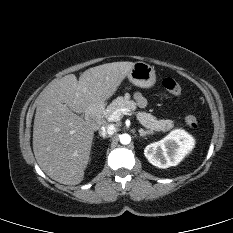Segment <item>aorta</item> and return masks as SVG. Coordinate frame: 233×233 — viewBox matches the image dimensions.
Wrapping results in <instances>:
<instances>
[{"label":"aorta","mask_w":233,"mask_h":233,"mask_svg":"<svg viewBox=\"0 0 233 233\" xmlns=\"http://www.w3.org/2000/svg\"><path fill=\"white\" fill-rule=\"evenodd\" d=\"M120 143L123 145H127L131 142V136L129 134H122L119 137Z\"/></svg>","instance_id":"762f6f07"}]
</instances>
